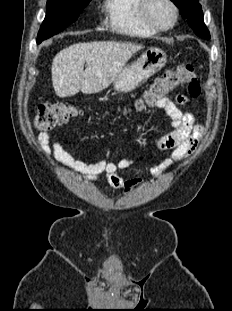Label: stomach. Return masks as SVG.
Instances as JSON below:
<instances>
[{"label":"stomach","mask_w":232,"mask_h":311,"mask_svg":"<svg viewBox=\"0 0 232 311\" xmlns=\"http://www.w3.org/2000/svg\"><path fill=\"white\" fill-rule=\"evenodd\" d=\"M167 63L165 52L153 47L147 49L134 63L125 66L113 81L118 92H128L142 85Z\"/></svg>","instance_id":"0dacf381"}]
</instances>
